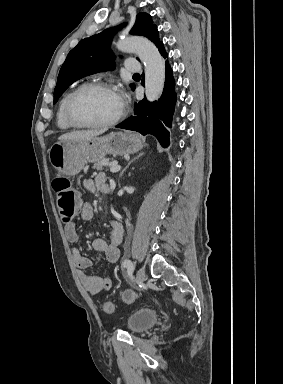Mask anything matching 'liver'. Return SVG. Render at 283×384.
Listing matches in <instances>:
<instances>
[{"label": "liver", "mask_w": 283, "mask_h": 384, "mask_svg": "<svg viewBox=\"0 0 283 384\" xmlns=\"http://www.w3.org/2000/svg\"><path fill=\"white\" fill-rule=\"evenodd\" d=\"M105 130H74L69 134H63L59 136L60 142H66V140H82V138H93V136H100L104 134Z\"/></svg>", "instance_id": "liver-1"}]
</instances>
